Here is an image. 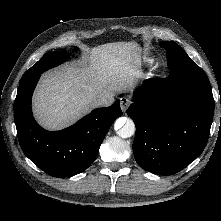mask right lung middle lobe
Listing matches in <instances>:
<instances>
[{
    "label": "right lung middle lobe",
    "mask_w": 221,
    "mask_h": 221,
    "mask_svg": "<svg viewBox=\"0 0 221 221\" xmlns=\"http://www.w3.org/2000/svg\"><path fill=\"white\" fill-rule=\"evenodd\" d=\"M69 56L70 53L68 52H52L45 55L34 66L24 73L21 81L31 78L37 74H41L46 70L65 62Z\"/></svg>",
    "instance_id": "1"
}]
</instances>
